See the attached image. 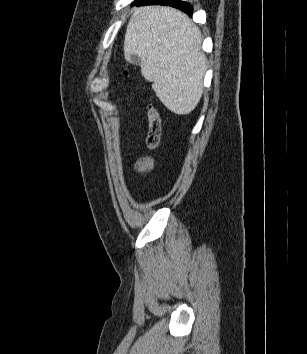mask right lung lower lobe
<instances>
[{"mask_svg":"<svg viewBox=\"0 0 307 354\" xmlns=\"http://www.w3.org/2000/svg\"><path fill=\"white\" fill-rule=\"evenodd\" d=\"M135 4L137 6L153 4L169 5L186 12L190 16L192 15V6L185 2H182L181 0H137Z\"/></svg>","mask_w":307,"mask_h":354,"instance_id":"obj_1","label":"right lung lower lobe"}]
</instances>
